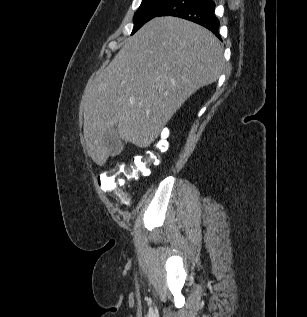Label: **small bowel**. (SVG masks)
Returning a JSON list of instances; mask_svg holds the SVG:
<instances>
[{"label":"small bowel","instance_id":"small-bowel-1","mask_svg":"<svg viewBox=\"0 0 307 317\" xmlns=\"http://www.w3.org/2000/svg\"><path fill=\"white\" fill-rule=\"evenodd\" d=\"M129 201V197L127 196L126 200H124V202H128Z\"/></svg>","mask_w":307,"mask_h":317}]
</instances>
